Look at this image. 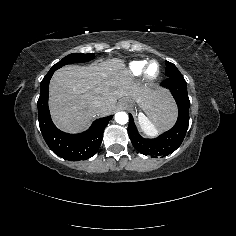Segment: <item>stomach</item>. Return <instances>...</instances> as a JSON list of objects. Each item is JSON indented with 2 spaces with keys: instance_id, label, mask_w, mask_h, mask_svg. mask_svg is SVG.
<instances>
[{
  "instance_id": "1",
  "label": "stomach",
  "mask_w": 236,
  "mask_h": 236,
  "mask_svg": "<svg viewBox=\"0 0 236 236\" xmlns=\"http://www.w3.org/2000/svg\"><path fill=\"white\" fill-rule=\"evenodd\" d=\"M144 87L146 88L148 92L152 94L159 95L164 92L163 88L160 87V83L158 82H154V81L147 82L146 84H144ZM123 103L127 104L128 108H133V107H136L137 105V102L134 99H131L129 97H125L122 100H120L119 105Z\"/></svg>"
}]
</instances>
